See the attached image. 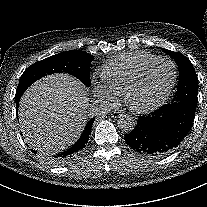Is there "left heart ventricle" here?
Returning a JSON list of instances; mask_svg holds the SVG:
<instances>
[{"label": "left heart ventricle", "mask_w": 207, "mask_h": 207, "mask_svg": "<svg viewBox=\"0 0 207 207\" xmlns=\"http://www.w3.org/2000/svg\"><path fill=\"white\" fill-rule=\"evenodd\" d=\"M173 66L168 62H159L146 74L142 85L131 95V103L145 108L153 102L165 99L173 78Z\"/></svg>", "instance_id": "left-heart-ventricle-1"}]
</instances>
